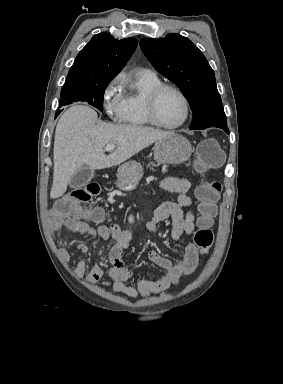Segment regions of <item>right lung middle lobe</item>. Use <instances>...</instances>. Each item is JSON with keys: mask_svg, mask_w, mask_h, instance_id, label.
<instances>
[{"mask_svg": "<svg viewBox=\"0 0 283 384\" xmlns=\"http://www.w3.org/2000/svg\"><path fill=\"white\" fill-rule=\"evenodd\" d=\"M109 83L93 84L78 87H63L61 91L60 106L69 105L72 102H87L103 111L104 91Z\"/></svg>", "mask_w": 283, "mask_h": 384, "instance_id": "1", "label": "right lung middle lobe"}]
</instances>
